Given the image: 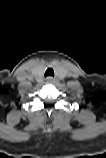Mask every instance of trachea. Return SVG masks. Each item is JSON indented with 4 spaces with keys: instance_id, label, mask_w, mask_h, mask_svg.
I'll use <instances>...</instances> for the list:
<instances>
[{
    "instance_id": "obj_1",
    "label": "trachea",
    "mask_w": 106,
    "mask_h": 158,
    "mask_svg": "<svg viewBox=\"0 0 106 158\" xmlns=\"http://www.w3.org/2000/svg\"><path fill=\"white\" fill-rule=\"evenodd\" d=\"M45 76H54V70L52 68H48L45 72Z\"/></svg>"
}]
</instances>
